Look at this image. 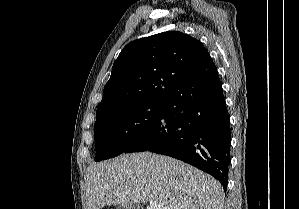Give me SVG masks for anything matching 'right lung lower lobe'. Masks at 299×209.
I'll return each mask as SVG.
<instances>
[{
  "label": "right lung lower lobe",
  "mask_w": 299,
  "mask_h": 209,
  "mask_svg": "<svg viewBox=\"0 0 299 209\" xmlns=\"http://www.w3.org/2000/svg\"><path fill=\"white\" fill-rule=\"evenodd\" d=\"M230 116L217 69L185 80L157 120L124 152L151 151L187 162L228 184Z\"/></svg>",
  "instance_id": "right-lung-lower-lobe-1"
}]
</instances>
